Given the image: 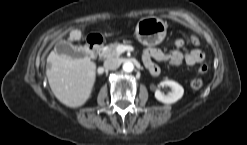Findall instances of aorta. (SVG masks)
Segmentation results:
<instances>
[{"mask_svg":"<svg viewBox=\"0 0 247 145\" xmlns=\"http://www.w3.org/2000/svg\"><path fill=\"white\" fill-rule=\"evenodd\" d=\"M134 69V65L131 61H126L124 64H123V71L124 72H127V73H130L132 72Z\"/></svg>","mask_w":247,"mask_h":145,"instance_id":"1","label":"aorta"}]
</instances>
